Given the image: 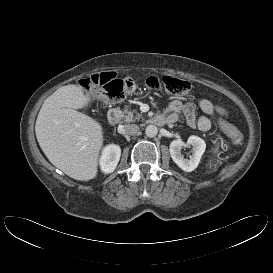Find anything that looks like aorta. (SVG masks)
Segmentation results:
<instances>
[{
  "label": "aorta",
  "mask_w": 273,
  "mask_h": 273,
  "mask_svg": "<svg viewBox=\"0 0 273 273\" xmlns=\"http://www.w3.org/2000/svg\"><path fill=\"white\" fill-rule=\"evenodd\" d=\"M158 129L155 125H148L145 129V134L147 137L153 138L157 135Z\"/></svg>",
  "instance_id": "762f6f07"
}]
</instances>
